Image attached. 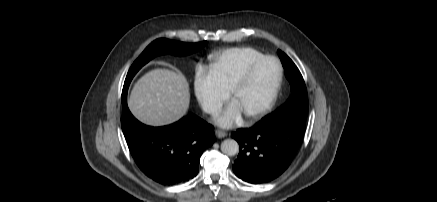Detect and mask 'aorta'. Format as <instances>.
Listing matches in <instances>:
<instances>
[{
	"mask_svg": "<svg viewBox=\"0 0 437 202\" xmlns=\"http://www.w3.org/2000/svg\"><path fill=\"white\" fill-rule=\"evenodd\" d=\"M221 151L229 156H234L239 152V145L233 139H226L221 143Z\"/></svg>",
	"mask_w": 437,
	"mask_h": 202,
	"instance_id": "aorta-1",
	"label": "aorta"
}]
</instances>
